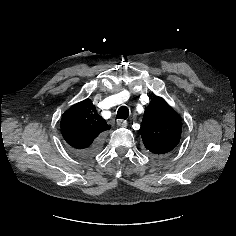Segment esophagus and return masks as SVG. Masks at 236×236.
Segmentation results:
<instances>
[{"label": "esophagus", "mask_w": 236, "mask_h": 236, "mask_svg": "<svg viewBox=\"0 0 236 236\" xmlns=\"http://www.w3.org/2000/svg\"><path fill=\"white\" fill-rule=\"evenodd\" d=\"M127 124H128V123H127L126 120H123V119L117 120V125H118L119 127H126Z\"/></svg>", "instance_id": "obj_1"}]
</instances>
